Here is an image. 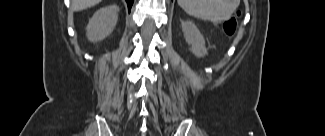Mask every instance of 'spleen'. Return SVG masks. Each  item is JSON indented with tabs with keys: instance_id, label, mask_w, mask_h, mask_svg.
<instances>
[{
	"instance_id": "spleen-1",
	"label": "spleen",
	"mask_w": 325,
	"mask_h": 136,
	"mask_svg": "<svg viewBox=\"0 0 325 136\" xmlns=\"http://www.w3.org/2000/svg\"><path fill=\"white\" fill-rule=\"evenodd\" d=\"M178 4L188 15L215 25L230 15V9L223 0H178Z\"/></svg>"
}]
</instances>
